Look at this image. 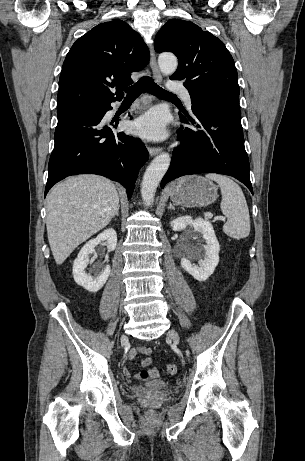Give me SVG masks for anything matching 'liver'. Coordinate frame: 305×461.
<instances>
[{"mask_svg":"<svg viewBox=\"0 0 305 461\" xmlns=\"http://www.w3.org/2000/svg\"><path fill=\"white\" fill-rule=\"evenodd\" d=\"M119 196L115 185L97 175H79L58 183L47 197V234L57 265L111 221Z\"/></svg>","mask_w":305,"mask_h":461,"instance_id":"6515ba94","label":"liver"}]
</instances>
